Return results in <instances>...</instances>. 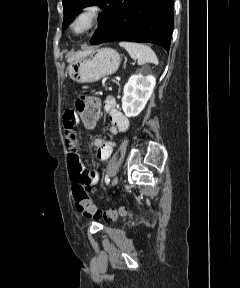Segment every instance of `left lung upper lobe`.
Listing matches in <instances>:
<instances>
[{
	"mask_svg": "<svg viewBox=\"0 0 240 288\" xmlns=\"http://www.w3.org/2000/svg\"><path fill=\"white\" fill-rule=\"evenodd\" d=\"M111 0H63V28L65 29L76 17L79 10L86 6L98 5L102 8V13L98 18L99 24L103 20Z\"/></svg>",
	"mask_w": 240,
	"mask_h": 288,
	"instance_id": "left-lung-upper-lobe-1",
	"label": "left lung upper lobe"
}]
</instances>
